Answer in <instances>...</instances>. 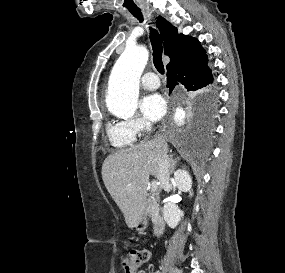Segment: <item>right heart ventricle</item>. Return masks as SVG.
Segmentation results:
<instances>
[{
	"mask_svg": "<svg viewBox=\"0 0 285 273\" xmlns=\"http://www.w3.org/2000/svg\"><path fill=\"white\" fill-rule=\"evenodd\" d=\"M106 134L111 145L117 149L127 148L135 141V137L126 130L122 122H109L106 126Z\"/></svg>",
	"mask_w": 285,
	"mask_h": 273,
	"instance_id": "obj_1",
	"label": "right heart ventricle"
}]
</instances>
